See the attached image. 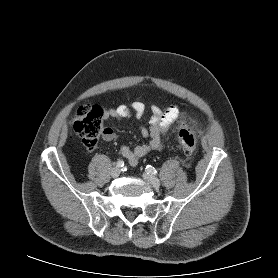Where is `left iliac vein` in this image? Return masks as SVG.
<instances>
[{
  "mask_svg": "<svg viewBox=\"0 0 278 278\" xmlns=\"http://www.w3.org/2000/svg\"><path fill=\"white\" fill-rule=\"evenodd\" d=\"M142 177L146 182L150 183L154 188L160 187V181L155 176L148 173H143Z\"/></svg>",
  "mask_w": 278,
  "mask_h": 278,
  "instance_id": "obj_1",
  "label": "left iliac vein"
}]
</instances>
